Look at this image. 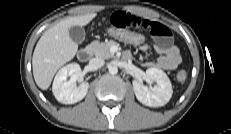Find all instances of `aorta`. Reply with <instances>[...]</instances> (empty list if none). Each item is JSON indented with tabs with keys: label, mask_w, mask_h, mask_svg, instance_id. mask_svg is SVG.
<instances>
[{
	"label": "aorta",
	"mask_w": 231,
	"mask_h": 134,
	"mask_svg": "<svg viewBox=\"0 0 231 134\" xmlns=\"http://www.w3.org/2000/svg\"><path fill=\"white\" fill-rule=\"evenodd\" d=\"M109 73L112 75H115L118 73V68L116 66H110L109 67Z\"/></svg>",
	"instance_id": "aorta-1"
}]
</instances>
